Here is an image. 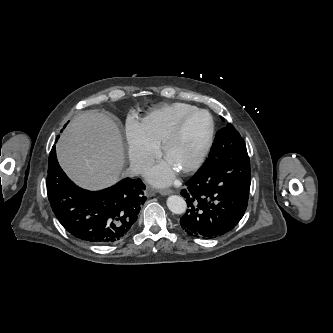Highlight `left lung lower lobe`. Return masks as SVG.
<instances>
[{"mask_svg":"<svg viewBox=\"0 0 333 333\" xmlns=\"http://www.w3.org/2000/svg\"><path fill=\"white\" fill-rule=\"evenodd\" d=\"M230 134V129L223 128L214 142ZM250 184L247 150L232 158H209L180 193L188 206L180 227L191 236L207 239L231 231L247 209Z\"/></svg>","mask_w":333,"mask_h":333,"instance_id":"1","label":"left lung lower lobe"}]
</instances>
